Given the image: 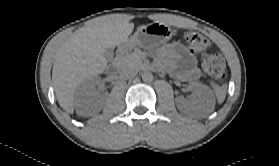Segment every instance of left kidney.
Masks as SVG:
<instances>
[{
	"label": "left kidney",
	"mask_w": 279,
	"mask_h": 166,
	"mask_svg": "<svg viewBox=\"0 0 279 166\" xmlns=\"http://www.w3.org/2000/svg\"><path fill=\"white\" fill-rule=\"evenodd\" d=\"M189 89L192 91L190 99L184 97L175 99L177 108L181 112H188L192 108L203 109L214 100L212 91L204 84L194 82L189 85Z\"/></svg>",
	"instance_id": "1"
}]
</instances>
